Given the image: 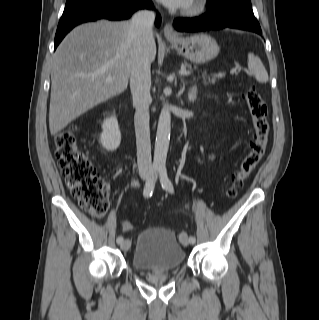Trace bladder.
I'll use <instances>...</instances> for the list:
<instances>
[{"instance_id": "obj_1", "label": "bladder", "mask_w": 319, "mask_h": 320, "mask_svg": "<svg viewBox=\"0 0 319 320\" xmlns=\"http://www.w3.org/2000/svg\"><path fill=\"white\" fill-rule=\"evenodd\" d=\"M185 259L186 251L176 235L156 227L138 234L130 264L136 271L173 270L181 267Z\"/></svg>"}]
</instances>
